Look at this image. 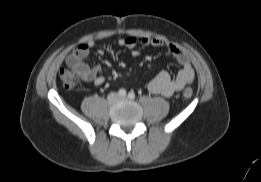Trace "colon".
Instances as JSON below:
<instances>
[{
    "label": "colon",
    "instance_id": "5ec220e1",
    "mask_svg": "<svg viewBox=\"0 0 261 182\" xmlns=\"http://www.w3.org/2000/svg\"><path fill=\"white\" fill-rule=\"evenodd\" d=\"M59 76H60V80H61L63 86H64L67 90H72V89H74V88L77 86V84H78V81H79L78 76H77L76 73H74V72L71 71V70L62 69V70L60 71ZM192 94H193V92H192V89H190V88H186V89H184V91H183V97H184L185 99L191 98V97H192Z\"/></svg>",
    "mask_w": 261,
    "mask_h": 182
}]
</instances>
